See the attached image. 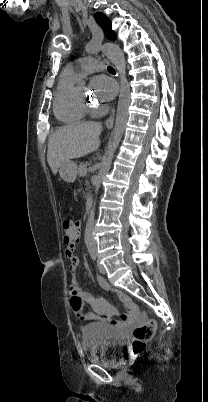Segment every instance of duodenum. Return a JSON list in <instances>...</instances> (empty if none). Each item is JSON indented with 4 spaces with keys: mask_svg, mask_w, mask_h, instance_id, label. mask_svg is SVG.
I'll return each instance as SVG.
<instances>
[{
    "mask_svg": "<svg viewBox=\"0 0 208 402\" xmlns=\"http://www.w3.org/2000/svg\"><path fill=\"white\" fill-rule=\"evenodd\" d=\"M92 204H93V200H92V198L91 197H89L87 200H86V210H90L91 209V207H92Z\"/></svg>",
    "mask_w": 208,
    "mask_h": 402,
    "instance_id": "1",
    "label": "duodenum"
}]
</instances>
